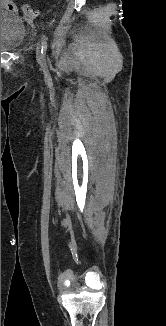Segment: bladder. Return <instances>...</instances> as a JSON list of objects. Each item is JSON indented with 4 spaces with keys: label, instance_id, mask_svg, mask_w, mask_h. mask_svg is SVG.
Segmentation results:
<instances>
[{
    "label": "bladder",
    "instance_id": "31cf9c89",
    "mask_svg": "<svg viewBox=\"0 0 166 326\" xmlns=\"http://www.w3.org/2000/svg\"><path fill=\"white\" fill-rule=\"evenodd\" d=\"M24 35V20L11 12L1 10V52L17 48Z\"/></svg>",
    "mask_w": 166,
    "mask_h": 326
}]
</instances>
